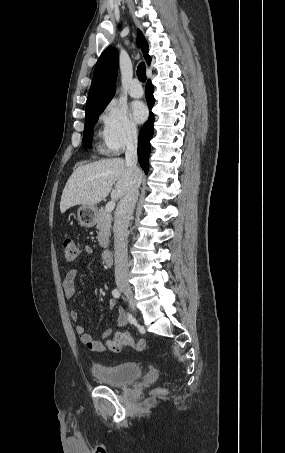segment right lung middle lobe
Listing matches in <instances>:
<instances>
[{
    "mask_svg": "<svg viewBox=\"0 0 285 453\" xmlns=\"http://www.w3.org/2000/svg\"><path fill=\"white\" fill-rule=\"evenodd\" d=\"M103 110L104 109L85 114V130L83 133V146L85 149L91 148L93 126Z\"/></svg>",
    "mask_w": 285,
    "mask_h": 453,
    "instance_id": "obj_1",
    "label": "right lung middle lobe"
}]
</instances>
